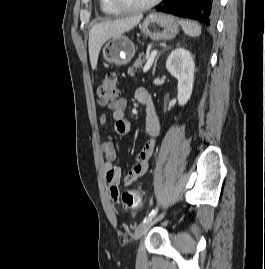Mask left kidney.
Masks as SVG:
<instances>
[{"mask_svg": "<svg viewBox=\"0 0 265 269\" xmlns=\"http://www.w3.org/2000/svg\"><path fill=\"white\" fill-rule=\"evenodd\" d=\"M166 68L178 80L177 99L183 106L189 101L194 84L195 63L191 53L184 48H176L168 56Z\"/></svg>", "mask_w": 265, "mask_h": 269, "instance_id": "5707ae66", "label": "left kidney"}]
</instances>
